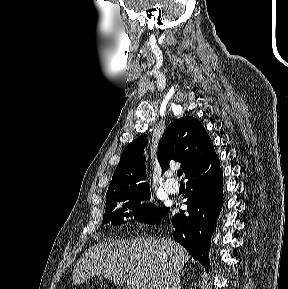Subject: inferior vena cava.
<instances>
[{
    "mask_svg": "<svg viewBox=\"0 0 288 289\" xmlns=\"http://www.w3.org/2000/svg\"><path fill=\"white\" fill-rule=\"evenodd\" d=\"M180 267L171 259L165 265L161 281L159 282V289H178L180 283Z\"/></svg>",
    "mask_w": 288,
    "mask_h": 289,
    "instance_id": "inferior-vena-cava-1",
    "label": "inferior vena cava"
}]
</instances>
